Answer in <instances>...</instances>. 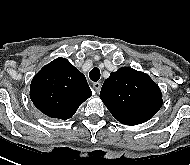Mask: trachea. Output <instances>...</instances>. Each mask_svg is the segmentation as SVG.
Instances as JSON below:
<instances>
[{"mask_svg": "<svg viewBox=\"0 0 190 165\" xmlns=\"http://www.w3.org/2000/svg\"><path fill=\"white\" fill-rule=\"evenodd\" d=\"M100 70L98 68H93L90 73H89V77L92 81L96 82L100 79Z\"/></svg>", "mask_w": 190, "mask_h": 165, "instance_id": "3493384b", "label": "trachea"}]
</instances>
